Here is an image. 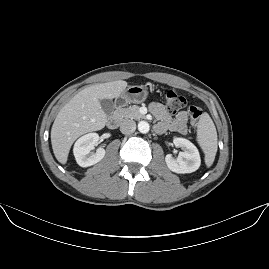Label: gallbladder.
Wrapping results in <instances>:
<instances>
[{
  "label": "gallbladder",
  "instance_id": "gallbladder-1",
  "mask_svg": "<svg viewBox=\"0 0 269 269\" xmlns=\"http://www.w3.org/2000/svg\"><path fill=\"white\" fill-rule=\"evenodd\" d=\"M101 108L105 112L107 116H110L113 114L114 111V102L112 100L108 99H102L100 100Z\"/></svg>",
  "mask_w": 269,
  "mask_h": 269
}]
</instances>
